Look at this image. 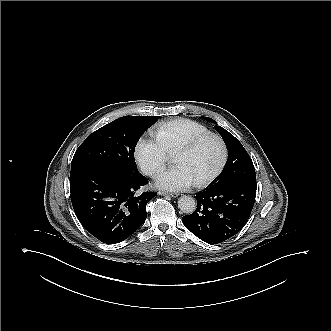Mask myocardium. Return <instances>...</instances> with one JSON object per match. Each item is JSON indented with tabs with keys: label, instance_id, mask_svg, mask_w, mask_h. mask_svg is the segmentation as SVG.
Wrapping results in <instances>:
<instances>
[{
	"label": "myocardium",
	"instance_id": "1",
	"mask_svg": "<svg viewBox=\"0 0 331 331\" xmlns=\"http://www.w3.org/2000/svg\"><path fill=\"white\" fill-rule=\"evenodd\" d=\"M209 140L215 141L218 145L219 155H220L219 162L210 174L196 179L195 185H205L207 183H210L213 180H215L223 171V169L226 165V162H227V150H226V146H225L222 138L219 135L214 134V133H206V134L200 135V136L190 140L186 144H184L176 152L175 157H174L175 161H180L186 154L193 151L199 145H201L202 143L209 141Z\"/></svg>",
	"mask_w": 331,
	"mask_h": 331
}]
</instances>
